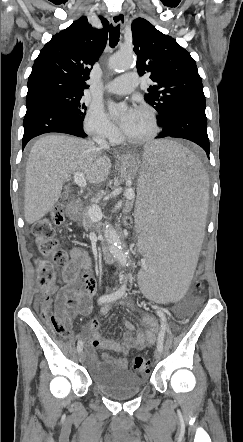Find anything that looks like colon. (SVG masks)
Wrapping results in <instances>:
<instances>
[{"label": "colon", "mask_w": 243, "mask_h": 442, "mask_svg": "<svg viewBox=\"0 0 243 442\" xmlns=\"http://www.w3.org/2000/svg\"><path fill=\"white\" fill-rule=\"evenodd\" d=\"M123 227L126 230L131 229L134 220L133 213H123L121 216ZM65 222L64 208L60 205L54 207L51 218L36 222L33 225V235L38 250L51 258L56 265H64L67 262V254L60 247L59 240L55 237L54 226H60ZM38 276L37 284L40 289L41 299V316L44 321L50 324L54 330L63 336L70 333L68 321L63 311L53 308L52 294L55 288V273L51 262L46 260H38L36 262ZM204 272V264L197 263L193 273L194 278L191 284L200 289L201 278ZM151 358L149 356L136 355L133 359V369L139 373H148L150 371Z\"/></svg>", "instance_id": "5ec220e1"}]
</instances>
